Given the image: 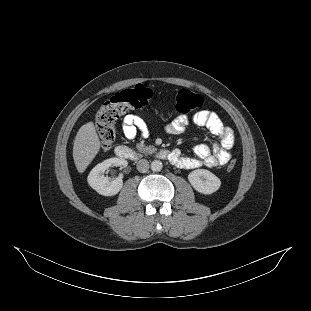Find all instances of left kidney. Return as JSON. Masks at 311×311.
Wrapping results in <instances>:
<instances>
[{
    "mask_svg": "<svg viewBox=\"0 0 311 311\" xmlns=\"http://www.w3.org/2000/svg\"><path fill=\"white\" fill-rule=\"evenodd\" d=\"M188 180L194 189L202 194H212L221 185L220 179L206 169H197L188 175Z\"/></svg>",
    "mask_w": 311,
    "mask_h": 311,
    "instance_id": "left-kidney-1",
    "label": "left kidney"
}]
</instances>
